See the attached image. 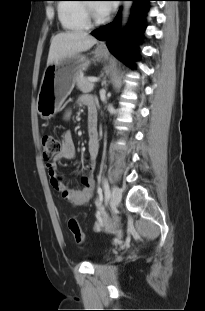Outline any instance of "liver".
<instances>
[{
    "label": "liver",
    "instance_id": "liver-1",
    "mask_svg": "<svg viewBox=\"0 0 205 311\" xmlns=\"http://www.w3.org/2000/svg\"><path fill=\"white\" fill-rule=\"evenodd\" d=\"M97 39L84 31L63 32L51 39L47 65L58 63L82 51L89 50Z\"/></svg>",
    "mask_w": 205,
    "mask_h": 311
}]
</instances>
